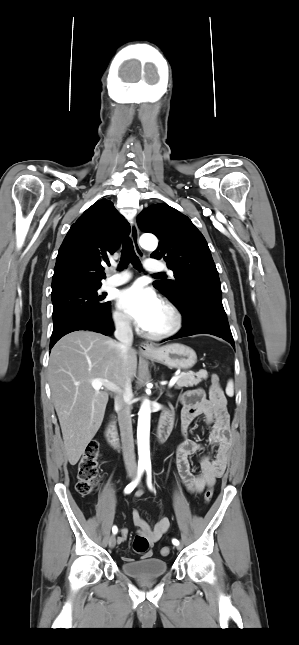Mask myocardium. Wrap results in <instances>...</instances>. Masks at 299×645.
Segmentation results:
<instances>
[{
    "label": "myocardium",
    "mask_w": 299,
    "mask_h": 645,
    "mask_svg": "<svg viewBox=\"0 0 299 645\" xmlns=\"http://www.w3.org/2000/svg\"><path fill=\"white\" fill-rule=\"evenodd\" d=\"M162 307L164 310L167 312L169 316V324L168 326L160 331L156 332H151V331H145L144 334L153 340H160L164 338H168L174 334H176L181 326H182V315L179 312V310L170 302L168 301H163L162 302Z\"/></svg>",
    "instance_id": "f54148a6"
}]
</instances>
